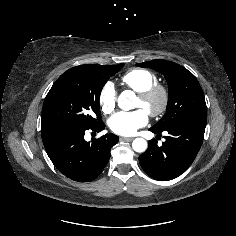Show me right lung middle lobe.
<instances>
[{"instance_id":"right-lung-middle-lobe-1","label":"right lung middle lobe","mask_w":236,"mask_h":236,"mask_svg":"<svg viewBox=\"0 0 236 236\" xmlns=\"http://www.w3.org/2000/svg\"><path fill=\"white\" fill-rule=\"evenodd\" d=\"M123 66L86 64L64 72L45 98L41 134L64 125L90 128L100 124V93Z\"/></svg>"}]
</instances>
